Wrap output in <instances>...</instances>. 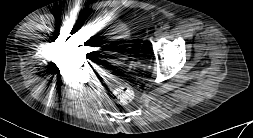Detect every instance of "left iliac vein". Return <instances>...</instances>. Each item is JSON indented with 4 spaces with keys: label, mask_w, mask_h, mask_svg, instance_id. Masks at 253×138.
I'll list each match as a JSON object with an SVG mask.
<instances>
[{
    "label": "left iliac vein",
    "mask_w": 253,
    "mask_h": 138,
    "mask_svg": "<svg viewBox=\"0 0 253 138\" xmlns=\"http://www.w3.org/2000/svg\"><path fill=\"white\" fill-rule=\"evenodd\" d=\"M161 34H162V31L160 29H158L157 31H155L154 36L159 37V36H161Z\"/></svg>",
    "instance_id": "4c4485c4"
}]
</instances>
